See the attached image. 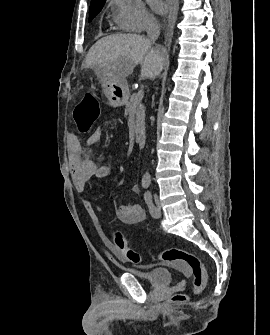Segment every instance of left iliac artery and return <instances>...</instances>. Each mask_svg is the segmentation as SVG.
<instances>
[{"label": "left iliac artery", "instance_id": "1", "mask_svg": "<svg viewBox=\"0 0 270 335\" xmlns=\"http://www.w3.org/2000/svg\"><path fill=\"white\" fill-rule=\"evenodd\" d=\"M144 200H145V203L147 204V206L149 208L150 214L152 216H154L156 214V207L153 204L151 192L147 191L144 194Z\"/></svg>", "mask_w": 270, "mask_h": 335}]
</instances>
